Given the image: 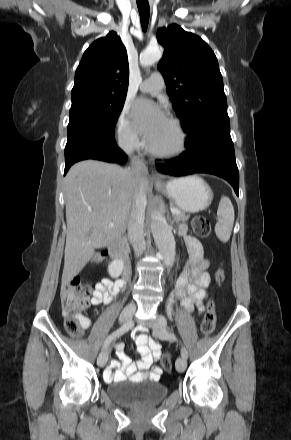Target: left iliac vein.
I'll return each instance as SVG.
<instances>
[{"instance_id":"obj_1","label":"left iliac vein","mask_w":291,"mask_h":440,"mask_svg":"<svg viewBox=\"0 0 291 440\" xmlns=\"http://www.w3.org/2000/svg\"><path fill=\"white\" fill-rule=\"evenodd\" d=\"M166 326H167L166 319L163 316L158 315L155 321L153 322L154 335L156 337H159L160 339H166L164 335ZM186 363H187L186 358L180 356L176 360V364H175L176 370L179 373L184 372V370L186 369Z\"/></svg>"}]
</instances>
